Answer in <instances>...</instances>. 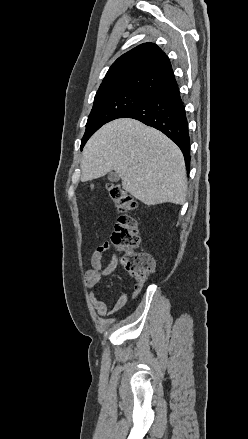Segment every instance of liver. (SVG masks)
<instances>
[{
    "instance_id": "obj_1",
    "label": "liver",
    "mask_w": 248,
    "mask_h": 439,
    "mask_svg": "<svg viewBox=\"0 0 248 439\" xmlns=\"http://www.w3.org/2000/svg\"><path fill=\"white\" fill-rule=\"evenodd\" d=\"M115 171L122 187L144 204L186 200L187 179L179 147L160 131L129 118L101 127L86 143L81 160V181Z\"/></svg>"
}]
</instances>
